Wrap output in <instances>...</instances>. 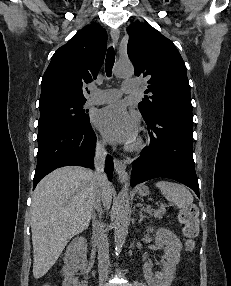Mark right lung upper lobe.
<instances>
[{
  "label": "right lung upper lobe",
  "instance_id": "right-lung-upper-lobe-1",
  "mask_svg": "<svg viewBox=\"0 0 231 286\" xmlns=\"http://www.w3.org/2000/svg\"><path fill=\"white\" fill-rule=\"evenodd\" d=\"M106 42L105 29L94 23L60 47L42 78L39 107L59 101H86L87 88L83 84L96 79L104 61Z\"/></svg>",
  "mask_w": 231,
  "mask_h": 286
}]
</instances>
